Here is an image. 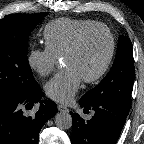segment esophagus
<instances>
[{
  "label": "esophagus",
  "mask_w": 144,
  "mask_h": 144,
  "mask_svg": "<svg viewBox=\"0 0 144 144\" xmlns=\"http://www.w3.org/2000/svg\"><path fill=\"white\" fill-rule=\"evenodd\" d=\"M57 108H58V111L60 112H63V113L69 112V109L64 105H58Z\"/></svg>",
  "instance_id": "1"
}]
</instances>
